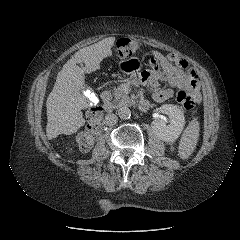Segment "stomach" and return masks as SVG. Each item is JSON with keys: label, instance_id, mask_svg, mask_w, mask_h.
Returning <instances> with one entry per match:
<instances>
[{"label": "stomach", "instance_id": "stomach-1", "mask_svg": "<svg viewBox=\"0 0 240 240\" xmlns=\"http://www.w3.org/2000/svg\"><path fill=\"white\" fill-rule=\"evenodd\" d=\"M119 68L122 72L130 74L141 70L142 62L137 57H131L129 59L121 60L119 63Z\"/></svg>", "mask_w": 240, "mask_h": 240}]
</instances>
